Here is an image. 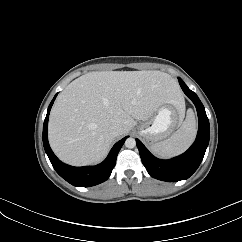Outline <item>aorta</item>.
Wrapping results in <instances>:
<instances>
[{
  "label": "aorta",
  "instance_id": "aorta-1",
  "mask_svg": "<svg viewBox=\"0 0 242 242\" xmlns=\"http://www.w3.org/2000/svg\"><path fill=\"white\" fill-rule=\"evenodd\" d=\"M125 146L132 149L136 146V140L134 138H127L125 141Z\"/></svg>",
  "mask_w": 242,
  "mask_h": 242
}]
</instances>
